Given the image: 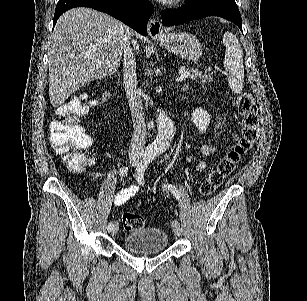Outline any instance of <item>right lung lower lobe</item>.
<instances>
[{
    "label": "right lung lower lobe",
    "instance_id": "obj_1",
    "mask_svg": "<svg viewBox=\"0 0 307 301\" xmlns=\"http://www.w3.org/2000/svg\"><path fill=\"white\" fill-rule=\"evenodd\" d=\"M74 7H90L105 12L143 36L146 35L147 22L153 12V5L146 0H59L53 26L61 14Z\"/></svg>",
    "mask_w": 307,
    "mask_h": 301
}]
</instances>
